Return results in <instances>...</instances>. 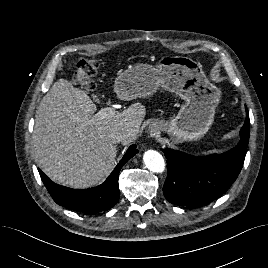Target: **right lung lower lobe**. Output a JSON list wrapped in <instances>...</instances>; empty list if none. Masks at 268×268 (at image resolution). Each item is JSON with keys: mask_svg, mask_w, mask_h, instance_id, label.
Returning a JSON list of instances; mask_svg holds the SVG:
<instances>
[{"mask_svg": "<svg viewBox=\"0 0 268 268\" xmlns=\"http://www.w3.org/2000/svg\"><path fill=\"white\" fill-rule=\"evenodd\" d=\"M131 145L113 172L101 185L89 189H71L52 182L40 169L41 179L54 201L71 210L86 214H95L111 209L118 201V173L122 166L132 158L138 150Z\"/></svg>", "mask_w": 268, "mask_h": 268, "instance_id": "obj_1", "label": "right lung lower lobe"}]
</instances>
